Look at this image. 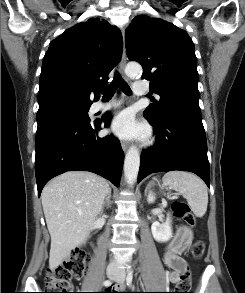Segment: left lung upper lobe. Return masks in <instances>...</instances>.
Returning <instances> with one entry per match:
<instances>
[{
    "instance_id": "1",
    "label": "left lung upper lobe",
    "mask_w": 245,
    "mask_h": 293,
    "mask_svg": "<svg viewBox=\"0 0 245 293\" xmlns=\"http://www.w3.org/2000/svg\"><path fill=\"white\" fill-rule=\"evenodd\" d=\"M126 54L143 67L142 78L161 99L144 115L158 120L169 111L201 117L194 44L186 31L149 16H136L125 31Z\"/></svg>"
}]
</instances>
